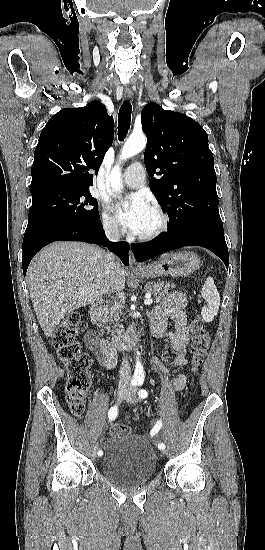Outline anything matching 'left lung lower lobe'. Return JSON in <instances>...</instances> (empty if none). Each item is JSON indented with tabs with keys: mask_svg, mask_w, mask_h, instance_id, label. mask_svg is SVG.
I'll list each match as a JSON object with an SVG mask.
<instances>
[{
	"mask_svg": "<svg viewBox=\"0 0 265 550\" xmlns=\"http://www.w3.org/2000/svg\"><path fill=\"white\" fill-rule=\"evenodd\" d=\"M201 246L215 253L228 269L229 254L224 233L203 226H186L168 230L156 241L131 244L138 262H143L169 250L184 246Z\"/></svg>",
	"mask_w": 265,
	"mask_h": 550,
	"instance_id": "0a47b994",
	"label": "left lung lower lobe"
}]
</instances>
